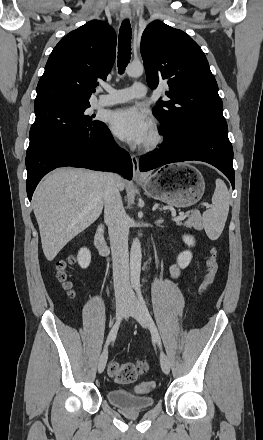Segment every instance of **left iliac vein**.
<instances>
[{
	"label": "left iliac vein",
	"instance_id": "4c4485c4",
	"mask_svg": "<svg viewBox=\"0 0 263 440\" xmlns=\"http://www.w3.org/2000/svg\"><path fill=\"white\" fill-rule=\"evenodd\" d=\"M127 312L130 314L143 328H148V321L142 310L141 305L136 300L135 296H131L127 300ZM160 364L163 372L168 374L170 372V362L165 353L160 354Z\"/></svg>",
	"mask_w": 263,
	"mask_h": 440
}]
</instances>
